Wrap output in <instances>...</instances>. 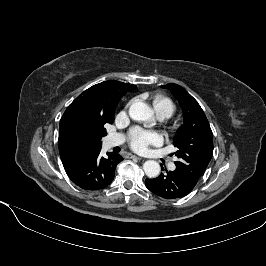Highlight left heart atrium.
<instances>
[{
	"mask_svg": "<svg viewBox=\"0 0 266 266\" xmlns=\"http://www.w3.org/2000/svg\"><path fill=\"white\" fill-rule=\"evenodd\" d=\"M161 140L162 137L157 132L136 128L131 133V146L139 152L146 151L150 145L159 144Z\"/></svg>",
	"mask_w": 266,
	"mask_h": 266,
	"instance_id": "left-heart-atrium-1",
	"label": "left heart atrium"
}]
</instances>
